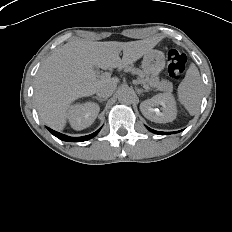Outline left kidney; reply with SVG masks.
<instances>
[{
    "label": "left kidney",
    "instance_id": "obj_1",
    "mask_svg": "<svg viewBox=\"0 0 232 232\" xmlns=\"http://www.w3.org/2000/svg\"><path fill=\"white\" fill-rule=\"evenodd\" d=\"M162 106L161 112L156 106ZM140 110L145 118L155 123H168L176 118V102L172 94L160 93L140 104Z\"/></svg>",
    "mask_w": 232,
    "mask_h": 232
}]
</instances>
